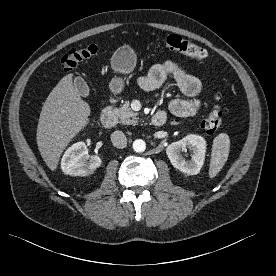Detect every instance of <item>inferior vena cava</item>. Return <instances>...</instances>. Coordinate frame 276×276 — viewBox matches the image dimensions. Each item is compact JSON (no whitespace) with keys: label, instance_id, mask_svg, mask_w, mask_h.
I'll list each match as a JSON object with an SVG mask.
<instances>
[{"label":"inferior vena cava","instance_id":"inferior-vena-cava-1","mask_svg":"<svg viewBox=\"0 0 276 276\" xmlns=\"http://www.w3.org/2000/svg\"><path fill=\"white\" fill-rule=\"evenodd\" d=\"M112 144L117 148H124L127 145V139L125 134L122 131H114L111 134Z\"/></svg>","mask_w":276,"mask_h":276}]
</instances>
